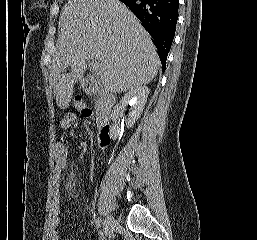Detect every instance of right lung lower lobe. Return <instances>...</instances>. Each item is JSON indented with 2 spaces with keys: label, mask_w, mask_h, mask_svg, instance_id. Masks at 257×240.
I'll return each instance as SVG.
<instances>
[{
  "label": "right lung lower lobe",
  "mask_w": 257,
  "mask_h": 240,
  "mask_svg": "<svg viewBox=\"0 0 257 240\" xmlns=\"http://www.w3.org/2000/svg\"><path fill=\"white\" fill-rule=\"evenodd\" d=\"M127 5L153 38L163 70L175 35L179 0H120Z\"/></svg>",
  "instance_id": "1"
}]
</instances>
